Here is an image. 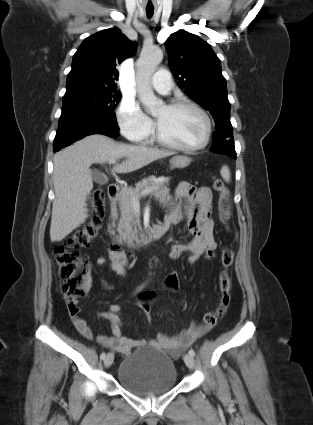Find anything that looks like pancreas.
Masks as SVG:
<instances>
[{"label": "pancreas", "instance_id": "obj_1", "mask_svg": "<svg viewBox=\"0 0 313 425\" xmlns=\"http://www.w3.org/2000/svg\"><path fill=\"white\" fill-rule=\"evenodd\" d=\"M167 185V181L149 176L138 182L135 188L128 187L121 190L118 198L121 216L116 229L120 244L125 243L128 247H134L135 242H139V236H142L140 219L133 206L134 199L139 200L150 189L151 191L146 194L154 197L161 205H165L171 199Z\"/></svg>", "mask_w": 313, "mask_h": 425}]
</instances>
